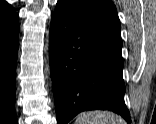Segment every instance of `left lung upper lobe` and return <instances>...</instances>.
Returning <instances> with one entry per match:
<instances>
[{
    "label": "left lung upper lobe",
    "instance_id": "left-lung-upper-lobe-1",
    "mask_svg": "<svg viewBox=\"0 0 156 124\" xmlns=\"http://www.w3.org/2000/svg\"><path fill=\"white\" fill-rule=\"evenodd\" d=\"M73 13L93 23L106 27L118 35L121 33L120 21L111 0H59Z\"/></svg>",
    "mask_w": 156,
    "mask_h": 124
}]
</instances>
